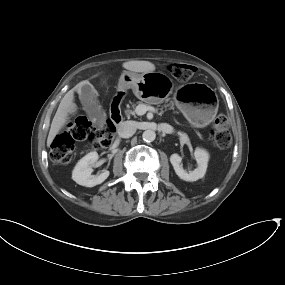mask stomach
Instances as JSON below:
<instances>
[{"label":"stomach","instance_id":"1","mask_svg":"<svg viewBox=\"0 0 285 285\" xmlns=\"http://www.w3.org/2000/svg\"><path fill=\"white\" fill-rule=\"evenodd\" d=\"M163 85L170 88V79L162 72L153 71L138 75L124 71L120 76L118 88L132 89L137 98L146 103H153L158 100L155 92ZM215 99L213 90L203 83L180 86L174 94L177 108L189 123L197 128L207 126L216 115L218 107Z\"/></svg>","mask_w":285,"mask_h":285}]
</instances>
